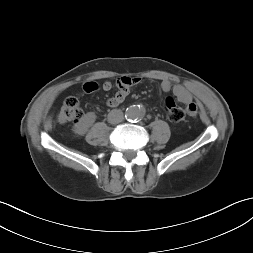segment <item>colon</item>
Masks as SVG:
<instances>
[{"label":"colon","instance_id":"5ec220e1","mask_svg":"<svg viewBox=\"0 0 253 253\" xmlns=\"http://www.w3.org/2000/svg\"><path fill=\"white\" fill-rule=\"evenodd\" d=\"M164 108L168 120L172 123H181L186 117L183 114V108L180 107L172 98H167ZM83 111L80 102L76 97H68L64 100L58 115L57 121L60 124L75 123L82 117Z\"/></svg>","mask_w":253,"mask_h":253}]
</instances>
